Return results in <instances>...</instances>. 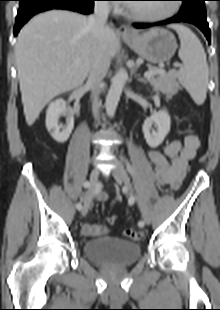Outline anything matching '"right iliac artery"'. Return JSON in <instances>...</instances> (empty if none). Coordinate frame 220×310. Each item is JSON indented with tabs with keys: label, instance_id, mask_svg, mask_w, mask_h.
I'll list each match as a JSON object with an SVG mask.
<instances>
[{
	"label": "right iliac artery",
	"instance_id": "1",
	"mask_svg": "<svg viewBox=\"0 0 220 310\" xmlns=\"http://www.w3.org/2000/svg\"><path fill=\"white\" fill-rule=\"evenodd\" d=\"M83 185H84L85 188H87V187H89V182H84ZM76 208H77L78 210H81V209H82V204H81L80 202L77 203Z\"/></svg>",
	"mask_w": 220,
	"mask_h": 310
}]
</instances>
